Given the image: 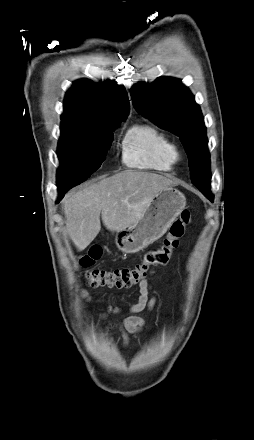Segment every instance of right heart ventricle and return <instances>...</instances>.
I'll use <instances>...</instances> for the list:
<instances>
[{
  "instance_id": "obj_1",
  "label": "right heart ventricle",
  "mask_w": 254,
  "mask_h": 440,
  "mask_svg": "<svg viewBox=\"0 0 254 440\" xmlns=\"http://www.w3.org/2000/svg\"><path fill=\"white\" fill-rule=\"evenodd\" d=\"M122 160L130 168L169 171L177 161V148L164 131L140 123L129 128L123 138Z\"/></svg>"
}]
</instances>
